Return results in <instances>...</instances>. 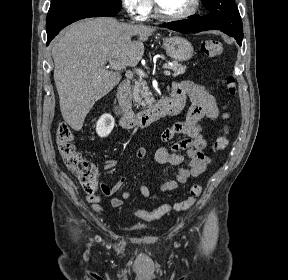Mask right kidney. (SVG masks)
Segmentation results:
<instances>
[{"label": "right kidney", "instance_id": "ca27d5eb", "mask_svg": "<svg viewBox=\"0 0 288 280\" xmlns=\"http://www.w3.org/2000/svg\"><path fill=\"white\" fill-rule=\"evenodd\" d=\"M114 127V119L110 115L102 116L96 124V132L100 137L107 136Z\"/></svg>", "mask_w": 288, "mask_h": 280}]
</instances>
